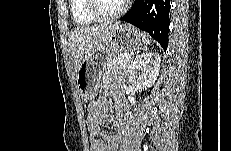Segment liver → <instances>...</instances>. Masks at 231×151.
<instances>
[{
    "label": "liver",
    "mask_w": 231,
    "mask_h": 151,
    "mask_svg": "<svg viewBox=\"0 0 231 151\" xmlns=\"http://www.w3.org/2000/svg\"><path fill=\"white\" fill-rule=\"evenodd\" d=\"M118 25L119 22L104 23L97 26L77 27L71 31L70 51L76 76L84 58L103 48Z\"/></svg>",
    "instance_id": "1"
}]
</instances>
